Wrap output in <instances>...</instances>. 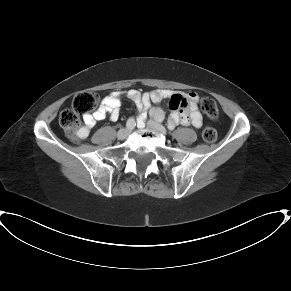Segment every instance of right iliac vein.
I'll use <instances>...</instances> for the list:
<instances>
[{
	"instance_id": "obj_1",
	"label": "right iliac vein",
	"mask_w": 291,
	"mask_h": 291,
	"mask_svg": "<svg viewBox=\"0 0 291 291\" xmlns=\"http://www.w3.org/2000/svg\"><path fill=\"white\" fill-rule=\"evenodd\" d=\"M130 134V131L128 129H121L119 130V132L117 133V138L120 140H124L128 137V135Z\"/></svg>"
}]
</instances>
